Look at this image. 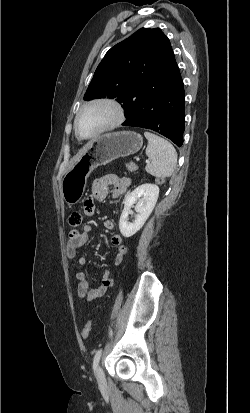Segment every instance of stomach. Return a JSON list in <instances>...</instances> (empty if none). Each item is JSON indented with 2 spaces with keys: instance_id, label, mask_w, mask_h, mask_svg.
Masks as SVG:
<instances>
[{
  "instance_id": "0dacf381",
  "label": "stomach",
  "mask_w": 250,
  "mask_h": 413,
  "mask_svg": "<svg viewBox=\"0 0 250 413\" xmlns=\"http://www.w3.org/2000/svg\"><path fill=\"white\" fill-rule=\"evenodd\" d=\"M143 138L132 131L106 133L92 140L88 150L73 164L61 181V194L68 205L80 201L87 178L98 166L137 153Z\"/></svg>"
}]
</instances>
